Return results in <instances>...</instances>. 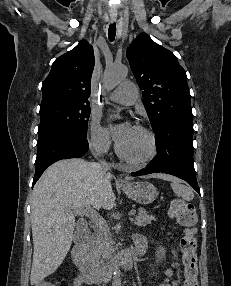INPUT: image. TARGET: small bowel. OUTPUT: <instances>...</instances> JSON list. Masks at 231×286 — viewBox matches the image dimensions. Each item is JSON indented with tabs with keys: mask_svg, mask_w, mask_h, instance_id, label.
Here are the masks:
<instances>
[{
	"mask_svg": "<svg viewBox=\"0 0 231 286\" xmlns=\"http://www.w3.org/2000/svg\"><path fill=\"white\" fill-rule=\"evenodd\" d=\"M138 238H142V237H136V239H138ZM178 267H179V263L174 259L173 263H172V267L168 268L165 271L166 278H165L164 282L160 286H176V283L175 282H171L170 278H171V276L173 274V270L174 269H178Z\"/></svg>",
	"mask_w": 231,
	"mask_h": 286,
	"instance_id": "c3829d8e",
	"label": "small bowel"
}]
</instances>
